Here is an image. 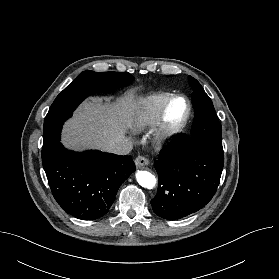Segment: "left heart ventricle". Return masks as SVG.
Returning <instances> with one entry per match:
<instances>
[{
    "instance_id": "b2bd125f",
    "label": "left heart ventricle",
    "mask_w": 279,
    "mask_h": 279,
    "mask_svg": "<svg viewBox=\"0 0 279 279\" xmlns=\"http://www.w3.org/2000/svg\"><path fill=\"white\" fill-rule=\"evenodd\" d=\"M186 113V103L182 99H177L171 103L166 113L167 123L174 125L182 120Z\"/></svg>"
}]
</instances>
